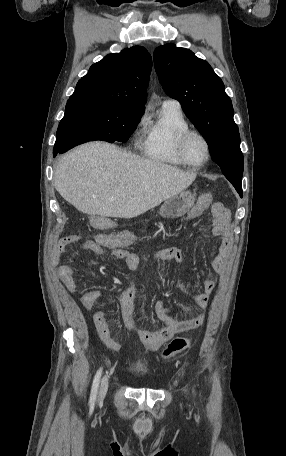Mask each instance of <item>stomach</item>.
Instances as JSON below:
<instances>
[{
	"instance_id": "stomach-1",
	"label": "stomach",
	"mask_w": 286,
	"mask_h": 456,
	"mask_svg": "<svg viewBox=\"0 0 286 456\" xmlns=\"http://www.w3.org/2000/svg\"><path fill=\"white\" fill-rule=\"evenodd\" d=\"M195 196L189 191H182L168 198L159 210L160 216L164 218H175L183 216L193 206Z\"/></svg>"
}]
</instances>
